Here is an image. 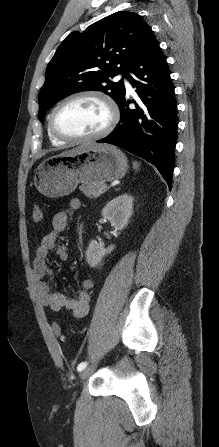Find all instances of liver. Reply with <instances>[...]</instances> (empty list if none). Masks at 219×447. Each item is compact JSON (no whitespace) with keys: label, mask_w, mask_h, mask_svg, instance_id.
Listing matches in <instances>:
<instances>
[{"label":"liver","mask_w":219,"mask_h":447,"mask_svg":"<svg viewBox=\"0 0 219 447\" xmlns=\"http://www.w3.org/2000/svg\"><path fill=\"white\" fill-rule=\"evenodd\" d=\"M90 145H92V144L82 145V146H80V147L71 149V150H69V151H65V152L61 153V155H73V154H75V153L81 151V150L84 149L85 147L90 146Z\"/></svg>","instance_id":"6515ba94"}]
</instances>
